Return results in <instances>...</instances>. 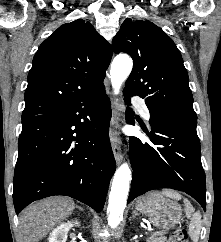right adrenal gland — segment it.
Wrapping results in <instances>:
<instances>
[{
	"label": "right adrenal gland",
	"mask_w": 221,
	"mask_h": 242,
	"mask_svg": "<svg viewBox=\"0 0 221 242\" xmlns=\"http://www.w3.org/2000/svg\"><path fill=\"white\" fill-rule=\"evenodd\" d=\"M77 207V209H79L80 211H84V209L82 208V207H80V206H76Z\"/></svg>",
	"instance_id": "2a0ac1e0"
}]
</instances>
